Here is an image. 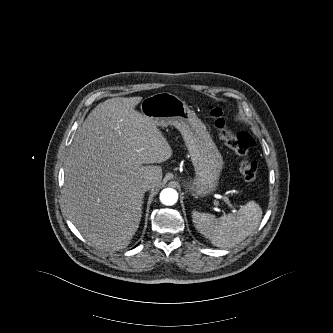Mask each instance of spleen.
<instances>
[{"instance_id": "3e777b00", "label": "spleen", "mask_w": 333, "mask_h": 333, "mask_svg": "<svg viewBox=\"0 0 333 333\" xmlns=\"http://www.w3.org/2000/svg\"><path fill=\"white\" fill-rule=\"evenodd\" d=\"M261 217L262 209L254 201L241 206L237 213L220 218L213 214L192 212L195 228L217 247H230L243 241L257 228Z\"/></svg>"}]
</instances>
